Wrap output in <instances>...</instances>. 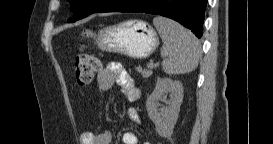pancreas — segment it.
Here are the masks:
<instances>
[{
	"instance_id": "pancreas-1",
	"label": "pancreas",
	"mask_w": 273,
	"mask_h": 144,
	"mask_svg": "<svg viewBox=\"0 0 273 144\" xmlns=\"http://www.w3.org/2000/svg\"><path fill=\"white\" fill-rule=\"evenodd\" d=\"M136 71L141 73L143 78H148L152 75V71L151 70H143L141 67H137Z\"/></svg>"
}]
</instances>
